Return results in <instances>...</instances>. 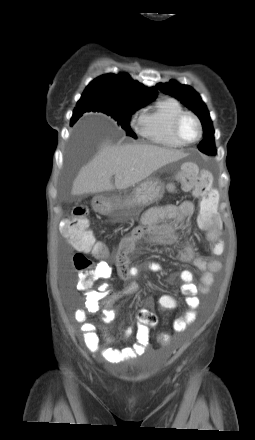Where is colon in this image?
I'll return each mask as SVG.
<instances>
[{"label": "colon", "mask_w": 255, "mask_h": 440, "mask_svg": "<svg viewBox=\"0 0 255 440\" xmlns=\"http://www.w3.org/2000/svg\"><path fill=\"white\" fill-rule=\"evenodd\" d=\"M176 181L185 191H190L199 200V218L204 225L215 219L218 207V193L212 188V175L208 170H200L193 164H186L178 173ZM63 236L69 245L76 250L73 256L75 270L80 274L77 287L81 290L89 288L99 278L98 267H94L86 252L93 250L98 255L105 254L103 245L95 240L90 229L88 210L77 206L60 224ZM161 311H177L178 298H158ZM160 346H170L172 339L169 334H158Z\"/></svg>", "instance_id": "1"}]
</instances>
